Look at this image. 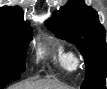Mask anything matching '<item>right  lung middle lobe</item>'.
<instances>
[{
    "mask_svg": "<svg viewBox=\"0 0 107 89\" xmlns=\"http://www.w3.org/2000/svg\"><path fill=\"white\" fill-rule=\"evenodd\" d=\"M31 28L0 25V88L20 77L25 55L32 39Z\"/></svg>",
    "mask_w": 107,
    "mask_h": 89,
    "instance_id": "obj_1",
    "label": "right lung middle lobe"
}]
</instances>
